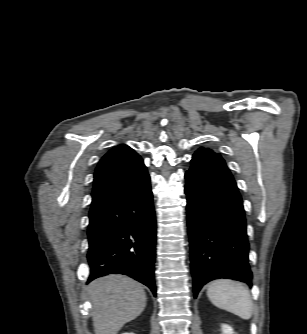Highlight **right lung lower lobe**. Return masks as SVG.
I'll return each instance as SVG.
<instances>
[{
    "label": "right lung lower lobe",
    "mask_w": 307,
    "mask_h": 334,
    "mask_svg": "<svg viewBox=\"0 0 307 334\" xmlns=\"http://www.w3.org/2000/svg\"><path fill=\"white\" fill-rule=\"evenodd\" d=\"M89 219L87 283L119 273L143 283L156 296L153 274L156 221L149 175L99 207Z\"/></svg>",
    "instance_id": "1"
}]
</instances>
